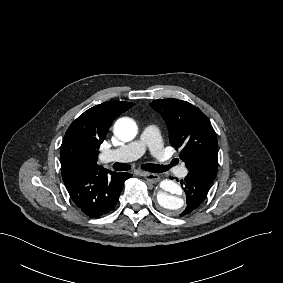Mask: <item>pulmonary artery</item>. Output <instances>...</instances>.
Listing matches in <instances>:
<instances>
[{
  "instance_id": "1",
  "label": "pulmonary artery",
  "mask_w": 283,
  "mask_h": 283,
  "mask_svg": "<svg viewBox=\"0 0 283 283\" xmlns=\"http://www.w3.org/2000/svg\"><path fill=\"white\" fill-rule=\"evenodd\" d=\"M161 136L162 130L159 126L147 125L142 127L137 141L126 145L123 150H107L103 153L102 158L107 163L130 162L141 158L148 147L153 154L161 155L166 150L160 139ZM176 173L179 177L184 178L188 175L189 170L186 166L181 165L177 168Z\"/></svg>"
}]
</instances>
